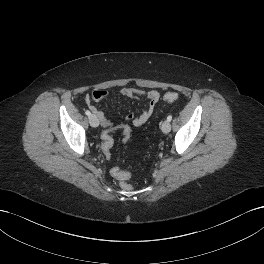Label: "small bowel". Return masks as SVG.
Instances as JSON below:
<instances>
[{
  "mask_svg": "<svg viewBox=\"0 0 264 264\" xmlns=\"http://www.w3.org/2000/svg\"><path fill=\"white\" fill-rule=\"evenodd\" d=\"M121 95L127 99H144L147 102L146 107L141 114L134 115L133 113H129L126 116V119L132 121L133 125L136 127L142 126L149 120L160 98V94L156 90H152L149 92H141L129 88H124L121 90ZM107 96L108 93L106 91L96 90L91 95H86L85 97V102L87 106L97 117L101 126L104 128H110L112 122L109 118H107L104 112L96 106L95 103L102 101ZM118 128L122 129L124 134V141H126V135L130 134V128L127 125H120L118 126ZM107 156L109 157V154H107ZM118 170H120L118 167H113L111 169V174L114 176L115 172Z\"/></svg>",
  "mask_w": 264,
  "mask_h": 264,
  "instance_id": "1",
  "label": "small bowel"
}]
</instances>
